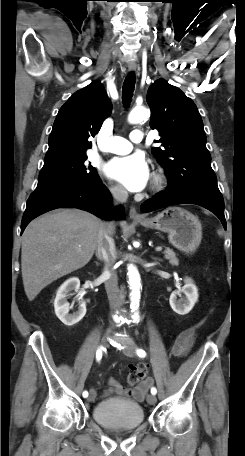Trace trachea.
I'll list each match as a JSON object with an SVG mask.
<instances>
[{"label":"trachea","instance_id":"1","mask_svg":"<svg viewBox=\"0 0 245 456\" xmlns=\"http://www.w3.org/2000/svg\"><path fill=\"white\" fill-rule=\"evenodd\" d=\"M135 88V75L130 73L124 80L122 87V99L126 106L131 102Z\"/></svg>","mask_w":245,"mask_h":456}]
</instances>
